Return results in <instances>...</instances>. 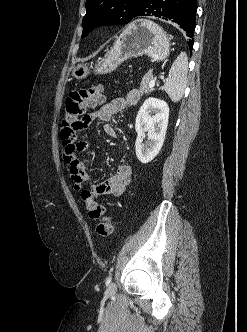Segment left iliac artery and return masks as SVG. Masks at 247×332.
Returning a JSON list of instances; mask_svg holds the SVG:
<instances>
[{
	"label": "left iliac artery",
	"mask_w": 247,
	"mask_h": 332,
	"mask_svg": "<svg viewBox=\"0 0 247 332\" xmlns=\"http://www.w3.org/2000/svg\"><path fill=\"white\" fill-rule=\"evenodd\" d=\"M112 280V275L110 274L109 277L106 280V285H109Z\"/></svg>",
	"instance_id": "left-iliac-artery-1"
}]
</instances>
